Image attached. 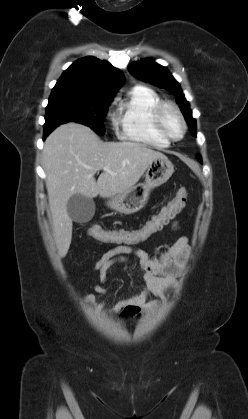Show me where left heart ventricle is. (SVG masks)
<instances>
[{
    "label": "left heart ventricle",
    "instance_id": "left-heart-ventricle-1",
    "mask_svg": "<svg viewBox=\"0 0 248 419\" xmlns=\"http://www.w3.org/2000/svg\"><path fill=\"white\" fill-rule=\"evenodd\" d=\"M164 126L166 130L174 137H179L182 132V125L175 114L171 109H167L163 115Z\"/></svg>",
    "mask_w": 248,
    "mask_h": 419
}]
</instances>
